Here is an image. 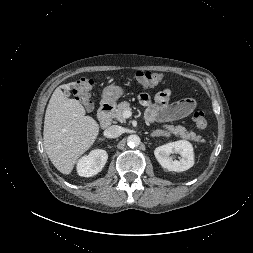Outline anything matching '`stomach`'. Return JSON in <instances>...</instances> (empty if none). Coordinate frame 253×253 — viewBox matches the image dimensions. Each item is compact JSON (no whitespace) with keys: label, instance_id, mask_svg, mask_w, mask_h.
<instances>
[{"label":"stomach","instance_id":"0dacf381","mask_svg":"<svg viewBox=\"0 0 253 253\" xmlns=\"http://www.w3.org/2000/svg\"><path fill=\"white\" fill-rule=\"evenodd\" d=\"M123 94V89L119 86L109 85L104 88L103 90V102L115 104L116 101L121 97Z\"/></svg>","mask_w":253,"mask_h":253}]
</instances>
